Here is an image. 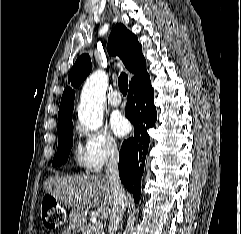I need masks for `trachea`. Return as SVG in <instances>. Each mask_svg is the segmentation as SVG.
Masks as SVG:
<instances>
[{
  "instance_id": "trachea-1",
  "label": "trachea",
  "mask_w": 241,
  "mask_h": 234,
  "mask_svg": "<svg viewBox=\"0 0 241 234\" xmlns=\"http://www.w3.org/2000/svg\"><path fill=\"white\" fill-rule=\"evenodd\" d=\"M118 85H119L120 91L125 96L128 90V76L123 72L118 78Z\"/></svg>"
}]
</instances>
